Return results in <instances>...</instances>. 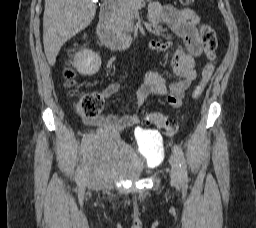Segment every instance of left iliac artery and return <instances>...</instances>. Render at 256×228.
Returning a JSON list of instances; mask_svg holds the SVG:
<instances>
[{
    "mask_svg": "<svg viewBox=\"0 0 256 228\" xmlns=\"http://www.w3.org/2000/svg\"><path fill=\"white\" fill-rule=\"evenodd\" d=\"M173 150L179 159V166H180V173H181V180L183 185H187L188 176H187V165L186 160L184 157V153L178 145H174Z\"/></svg>",
    "mask_w": 256,
    "mask_h": 228,
    "instance_id": "obj_1",
    "label": "left iliac artery"
}]
</instances>
